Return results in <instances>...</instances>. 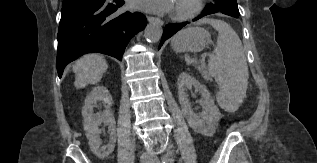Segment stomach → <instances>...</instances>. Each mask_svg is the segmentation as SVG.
<instances>
[{"mask_svg": "<svg viewBox=\"0 0 317 163\" xmlns=\"http://www.w3.org/2000/svg\"><path fill=\"white\" fill-rule=\"evenodd\" d=\"M211 43V36L201 27H189L177 33L171 46L176 52H199Z\"/></svg>", "mask_w": 317, "mask_h": 163, "instance_id": "1", "label": "stomach"}]
</instances>
